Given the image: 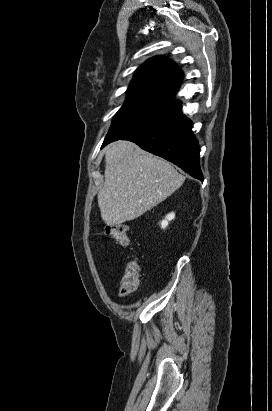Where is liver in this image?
<instances>
[{"mask_svg": "<svg viewBox=\"0 0 272 411\" xmlns=\"http://www.w3.org/2000/svg\"><path fill=\"white\" fill-rule=\"evenodd\" d=\"M105 162V182L98 192V205L102 220L109 226L138 218L185 180L172 164L129 141L110 144L105 150Z\"/></svg>", "mask_w": 272, "mask_h": 411, "instance_id": "liver-1", "label": "liver"}]
</instances>
